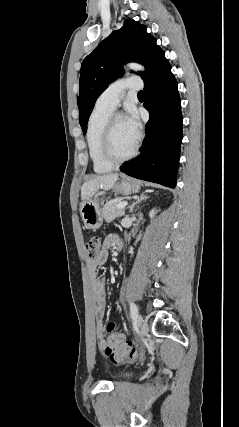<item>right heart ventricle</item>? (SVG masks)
<instances>
[{
	"label": "right heart ventricle",
	"instance_id": "right-heart-ventricle-1",
	"mask_svg": "<svg viewBox=\"0 0 239 427\" xmlns=\"http://www.w3.org/2000/svg\"><path fill=\"white\" fill-rule=\"evenodd\" d=\"M111 114L112 111L100 109L95 106L87 124L86 141L88 152L93 169L97 173H105L113 168V165L106 162L101 155L102 134Z\"/></svg>",
	"mask_w": 239,
	"mask_h": 427
}]
</instances>
